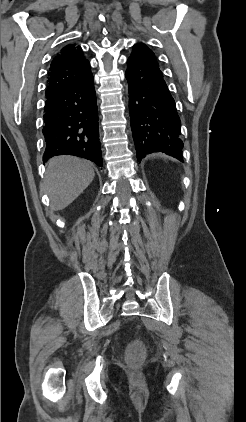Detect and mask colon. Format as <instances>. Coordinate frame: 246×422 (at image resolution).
<instances>
[{"instance_id": "colon-1", "label": "colon", "mask_w": 246, "mask_h": 422, "mask_svg": "<svg viewBox=\"0 0 246 422\" xmlns=\"http://www.w3.org/2000/svg\"><path fill=\"white\" fill-rule=\"evenodd\" d=\"M143 356H144V349L141 342L134 341L128 346L127 358L131 363L133 364L139 363L143 359Z\"/></svg>"}]
</instances>
